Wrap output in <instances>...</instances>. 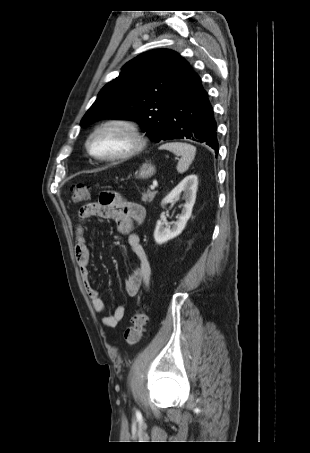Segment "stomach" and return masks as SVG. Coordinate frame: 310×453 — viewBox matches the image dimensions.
Wrapping results in <instances>:
<instances>
[{
  "instance_id": "1",
  "label": "stomach",
  "mask_w": 310,
  "mask_h": 453,
  "mask_svg": "<svg viewBox=\"0 0 310 453\" xmlns=\"http://www.w3.org/2000/svg\"><path fill=\"white\" fill-rule=\"evenodd\" d=\"M155 174V166L150 163H144L140 170L135 174L136 178L148 179Z\"/></svg>"
}]
</instances>
